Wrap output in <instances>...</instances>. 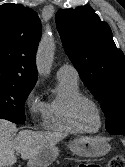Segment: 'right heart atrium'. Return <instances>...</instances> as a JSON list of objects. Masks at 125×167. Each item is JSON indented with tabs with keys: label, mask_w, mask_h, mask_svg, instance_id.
I'll use <instances>...</instances> for the list:
<instances>
[{
	"label": "right heart atrium",
	"mask_w": 125,
	"mask_h": 167,
	"mask_svg": "<svg viewBox=\"0 0 125 167\" xmlns=\"http://www.w3.org/2000/svg\"><path fill=\"white\" fill-rule=\"evenodd\" d=\"M45 106L37 90L32 89L28 92L24 100V107L32 121L40 122L44 119Z\"/></svg>",
	"instance_id": "d8ad5b80"
}]
</instances>
